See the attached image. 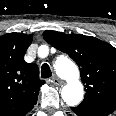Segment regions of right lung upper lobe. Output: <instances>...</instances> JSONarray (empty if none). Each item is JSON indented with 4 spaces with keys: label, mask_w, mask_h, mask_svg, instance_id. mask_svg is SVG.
Returning a JSON list of instances; mask_svg holds the SVG:
<instances>
[{
    "label": "right lung upper lobe",
    "mask_w": 116,
    "mask_h": 116,
    "mask_svg": "<svg viewBox=\"0 0 116 116\" xmlns=\"http://www.w3.org/2000/svg\"><path fill=\"white\" fill-rule=\"evenodd\" d=\"M32 39L23 33L0 36V116H25L45 83L39 79L38 66L24 61Z\"/></svg>",
    "instance_id": "right-lung-upper-lobe-1"
}]
</instances>
